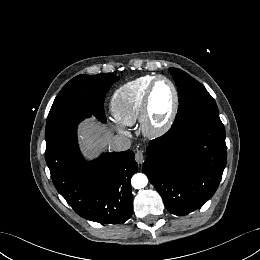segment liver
<instances>
[{
	"mask_svg": "<svg viewBox=\"0 0 260 260\" xmlns=\"http://www.w3.org/2000/svg\"><path fill=\"white\" fill-rule=\"evenodd\" d=\"M79 139L82 151L87 157H93L105 148H110L112 134L94 119H86L79 125Z\"/></svg>",
	"mask_w": 260,
	"mask_h": 260,
	"instance_id": "obj_1",
	"label": "liver"
}]
</instances>
